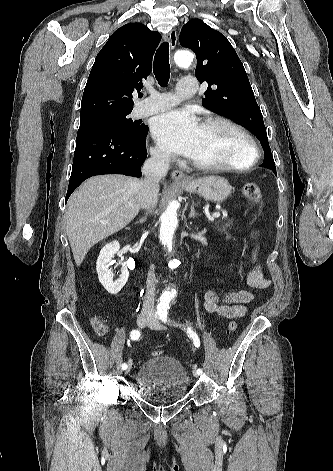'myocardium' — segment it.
<instances>
[{
	"label": "myocardium",
	"mask_w": 333,
	"mask_h": 471,
	"mask_svg": "<svg viewBox=\"0 0 333 471\" xmlns=\"http://www.w3.org/2000/svg\"><path fill=\"white\" fill-rule=\"evenodd\" d=\"M212 124H224L233 130H235L237 133H239L242 138L245 140L248 150H249V155L246 160H244L241 163H224V164H206V163H201L198 162L194 159H191V164L203 171H245L249 168H251L258 160L259 157V151L257 144L252 137V135L247 131L246 128H244L242 125L237 123L236 121L225 117V116H211L203 120L201 123V126H208Z\"/></svg>",
	"instance_id": "myocardium-1"
}]
</instances>
